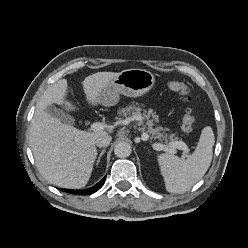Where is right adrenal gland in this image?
<instances>
[{
    "label": "right adrenal gland",
    "mask_w": 248,
    "mask_h": 248,
    "mask_svg": "<svg viewBox=\"0 0 248 248\" xmlns=\"http://www.w3.org/2000/svg\"><path fill=\"white\" fill-rule=\"evenodd\" d=\"M105 149H103L101 152H100V154H99V156H98V158H97V161H96V165H98L99 164V162H100V159H101V157L103 156V154L105 153Z\"/></svg>",
    "instance_id": "obj_1"
}]
</instances>
